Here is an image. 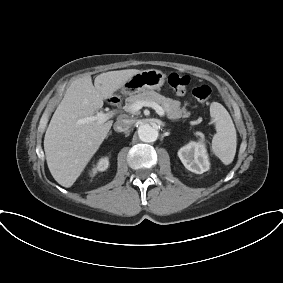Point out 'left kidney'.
I'll return each instance as SVG.
<instances>
[{
  "label": "left kidney",
  "mask_w": 283,
  "mask_h": 283,
  "mask_svg": "<svg viewBox=\"0 0 283 283\" xmlns=\"http://www.w3.org/2000/svg\"><path fill=\"white\" fill-rule=\"evenodd\" d=\"M183 165L191 172L202 174L209 169L210 163L203 142H190L178 151Z\"/></svg>",
  "instance_id": "left-kidney-1"
}]
</instances>
